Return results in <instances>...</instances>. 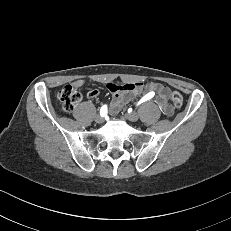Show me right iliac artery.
Wrapping results in <instances>:
<instances>
[{
    "instance_id": "obj_1",
    "label": "right iliac artery",
    "mask_w": 231,
    "mask_h": 231,
    "mask_svg": "<svg viewBox=\"0 0 231 231\" xmlns=\"http://www.w3.org/2000/svg\"><path fill=\"white\" fill-rule=\"evenodd\" d=\"M100 115L102 117H105L107 115V106L106 105H104V106L101 107V109H100Z\"/></svg>"
}]
</instances>
